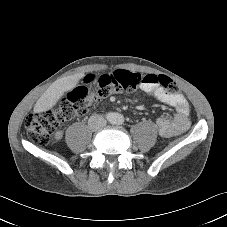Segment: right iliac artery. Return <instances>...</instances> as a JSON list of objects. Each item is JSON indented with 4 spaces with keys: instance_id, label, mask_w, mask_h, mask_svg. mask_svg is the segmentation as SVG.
<instances>
[{
    "instance_id": "82829eb1",
    "label": "right iliac artery",
    "mask_w": 227,
    "mask_h": 227,
    "mask_svg": "<svg viewBox=\"0 0 227 227\" xmlns=\"http://www.w3.org/2000/svg\"><path fill=\"white\" fill-rule=\"evenodd\" d=\"M112 117L111 114H107V118L110 119Z\"/></svg>"
}]
</instances>
